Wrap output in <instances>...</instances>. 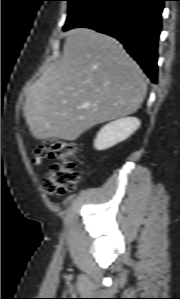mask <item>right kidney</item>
Returning a JSON list of instances; mask_svg holds the SVG:
<instances>
[{
  "label": "right kidney",
  "mask_w": 180,
  "mask_h": 299,
  "mask_svg": "<svg viewBox=\"0 0 180 299\" xmlns=\"http://www.w3.org/2000/svg\"><path fill=\"white\" fill-rule=\"evenodd\" d=\"M139 126L140 121L135 117H125L110 122L98 132L94 140V147L96 150H106L113 147L126 140Z\"/></svg>",
  "instance_id": "ca27d5eb"
}]
</instances>
